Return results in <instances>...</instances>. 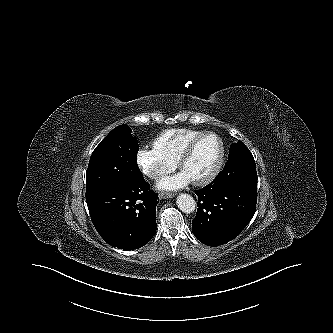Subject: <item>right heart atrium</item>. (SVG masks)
I'll list each match as a JSON object with an SVG mask.
<instances>
[{"label": "right heart atrium", "instance_id": "obj_1", "mask_svg": "<svg viewBox=\"0 0 333 333\" xmlns=\"http://www.w3.org/2000/svg\"><path fill=\"white\" fill-rule=\"evenodd\" d=\"M136 161L143 174L153 180H160L176 167V162L147 147L139 149Z\"/></svg>", "mask_w": 333, "mask_h": 333}]
</instances>
